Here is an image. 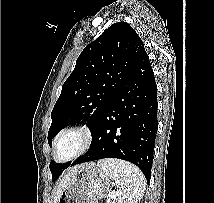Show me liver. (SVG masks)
Wrapping results in <instances>:
<instances>
[{
	"instance_id": "6515ba94",
	"label": "liver",
	"mask_w": 214,
	"mask_h": 203,
	"mask_svg": "<svg viewBox=\"0 0 214 203\" xmlns=\"http://www.w3.org/2000/svg\"><path fill=\"white\" fill-rule=\"evenodd\" d=\"M82 165H78L75 166L73 168H70L69 170H67L63 176L59 179V181L57 182V186L55 189V193H54V203L57 202L60 193L67 187L69 186L72 181L74 180L76 173L78 172V169L81 167Z\"/></svg>"
}]
</instances>
